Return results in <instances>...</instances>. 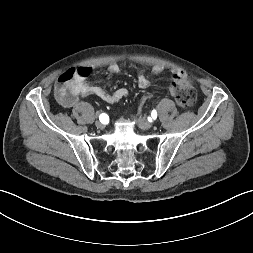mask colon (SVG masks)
<instances>
[{
	"label": "colon",
	"mask_w": 253,
	"mask_h": 253,
	"mask_svg": "<svg viewBox=\"0 0 253 253\" xmlns=\"http://www.w3.org/2000/svg\"><path fill=\"white\" fill-rule=\"evenodd\" d=\"M88 71L85 69L69 70L63 73L56 83V95L60 101L67 102L73 98L72 95V83L76 78L87 76ZM175 97L176 103L181 108H190L194 105L196 100V91L191 81L187 78L182 83H174L170 87ZM156 93L151 91L140 97L141 102L138 105V109L143 111L145 109L144 102L152 100Z\"/></svg>",
	"instance_id": "1"
}]
</instances>
